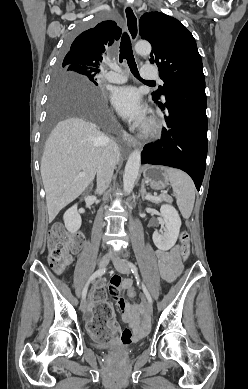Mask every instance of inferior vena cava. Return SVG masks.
I'll return each instance as SVG.
<instances>
[{
    "instance_id": "602c4592",
    "label": "inferior vena cava",
    "mask_w": 248,
    "mask_h": 389,
    "mask_svg": "<svg viewBox=\"0 0 248 389\" xmlns=\"http://www.w3.org/2000/svg\"><path fill=\"white\" fill-rule=\"evenodd\" d=\"M119 155L118 145L108 139L97 168L96 192L102 194L109 187Z\"/></svg>"
}]
</instances>
